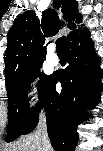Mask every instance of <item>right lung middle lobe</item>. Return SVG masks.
Here are the masks:
<instances>
[{
  "instance_id": "1",
  "label": "right lung middle lobe",
  "mask_w": 103,
  "mask_h": 151,
  "mask_svg": "<svg viewBox=\"0 0 103 151\" xmlns=\"http://www.w3.org/2000/svg\"><path fill=\"white\" fill-rule=\"evenodd\" d=\"M42 63L34 65L23 72L16 80L7 88L8 95V128L7 142H11L23 135L31 122L34 120L40 109L42 100L47 88L52 80L53 75L47 76L40 72ZM39 77L38 83L40 104L35 108H29L27 103V91L31 82Z\"/></svg>"
}]
</instances>
